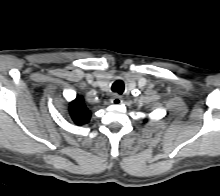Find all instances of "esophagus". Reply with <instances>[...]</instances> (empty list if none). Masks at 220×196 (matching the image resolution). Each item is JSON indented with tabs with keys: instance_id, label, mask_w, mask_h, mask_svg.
Wrapping results in <instances>:
<instances>
[{
	"instance_id": "1",
	"label": "esophagus",
	"mask_w": 220,
	"mask_h": 196,
	"mask_svg": "<svg viewBox=\"0 0 220 196\" xmlns=\"http://www.w3.org/2000/svg\"><path fill=\"white\" fill-rule=\"evenodd\" d=\"M122 97L120 95L114 94L111 98V103L114 105H120L122 103Z\"/></svg>"
}]
</instances>
